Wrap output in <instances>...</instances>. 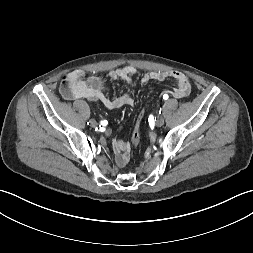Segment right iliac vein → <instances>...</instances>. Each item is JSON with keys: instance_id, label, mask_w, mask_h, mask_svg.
<instances>
[{"instance_id": "63e3f726", "label": "right iliac vein", "mask_w": 253, "mask_h": 253, "mask_svg": "<svg viewBox=\"0 0 253 253\" xmlns=\"http://www.w3.org/2000/svg\"><path fill=\"white\" fill-rule=\"evenodd\" d=\"M89 123H90V126L93 127V128L98 126L97 121H95L94 119H91V120L89 121Z\"/></svg>"}]
</instances>
